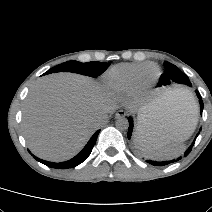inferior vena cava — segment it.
<instances>
[{"instance_id": "inferior-vena-cava-1", "label": "inferior vena cava", "mask_w": 212, "mask_h": 212, "mask_svg": "<svg viewBox=\"0 0 212 212\" xmlns=\"http://www.w3.org/2000/svg\"><path fill=\"white\" fill-rule=\"evenodd\" d=\"M106 118L107 117H98L96 120H95V124L97 126H101L104 124V122L106 121Z\"/></svg>"}]
</instances>
